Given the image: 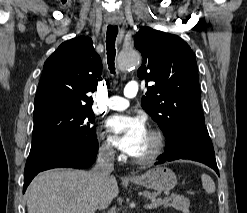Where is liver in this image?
Returning <instances> with one entry per match:
<instances>
[{"instance_id":"1","label":"liver","mask_w":247,"mask_h":213,"mask_svg":"<svg viewBox=\"0 0 247 213\" xmlns=\"http://www.w3.org/2000/svg\"><path fill=\"white\" fill-rule=\"evenodd\" d=\"M119 194L114 176L103 182L94 171L53 169L38 174L26 191L28 213H95Z\"/></svg>"}]
</instances>
